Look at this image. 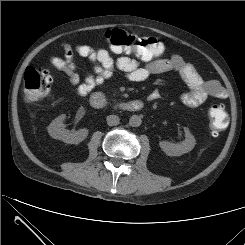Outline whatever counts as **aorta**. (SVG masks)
<instances>
[{
    "label": "aorta",
    "instance_id": "obj_1",
    "mask_svg": "<svg viewBox=\"0 0 245 245\" xmlns=\"http://www.w3.org/2000/svg\"><path fill=\"white\" fill-rule=\"evenodd\" d=\"M142 124V119L138 115H132L129 119V125L132 127H138Z\"/></svg>",
    "mask_w": 245,
    "mask_h": 245
}]
</instances>
